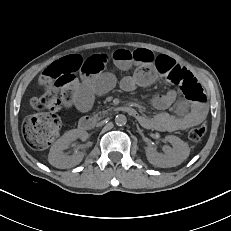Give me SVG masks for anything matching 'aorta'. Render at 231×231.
I'll use <instances>...</instances> for the list:
<instances>
[{
  "label": "aorta",
  "mask_w": 231,
  "mask_h": 231,
  "mask_svg": "<svg viewBox=\"0 0 231 231\" xmlns=\"http://www.w3.org/2000/svg\"><path fill=\"white\" fill-rule=\"evenodd\" d=\"M115 123L118 126H124L127 123V118L123 114H119L115 117Z\"/></svg>",
  "instance_id": "obj_1"
}]
</instances>
